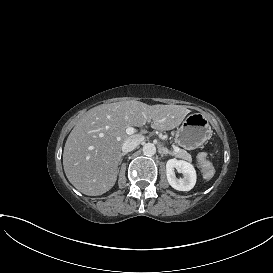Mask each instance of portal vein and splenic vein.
Segmentation results:
<instances>
[{"label":"portal vein and splenic vein","mask_w":273,"mask_h":273,"mask_svg":"<svg viewBox=\"0 0 273 273\" xmlns=\"http://www.w3.org/2000/svg\"><path fill=\"white\" fill-rule=\"evenodd\" d=\"M138 132H139L138 129H133V128H131V127H128V128H126V130H125V133H126L127 135H133V134H136V133H138ZM172 149H173L175 152H182V149H180L179 147H176V146H172Z\"/></svg>","instance_id":"1"}]
</instances>
